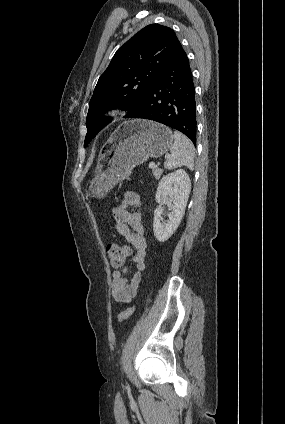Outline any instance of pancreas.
<instances>
[{
	"label": "pancreas",
	"mask_w": 285,
	"mask_h": 424,
	"mask_svg": "<svg viewBox=\"0 0 285 424\" xmlns=\"http://www.w3.org/2000/svg\"><path fill=\"white\" fill-rule=\"evenodd\" d=\"M153 169V175L156 179H159L161 174H162V170L158 169L157 167L152 168Z\"/></svg>",
	"instance_id": "cf45deb5"
}]
</instances>
